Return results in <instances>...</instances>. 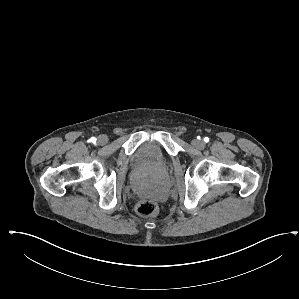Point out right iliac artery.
<instances>
[{"mask_svg": "<svg viewBox=\"0 0 299 299\" xmlns=\"http://www.w3.org/2000/svg\"><path fill=\"white\" fill-rule=\"evenodd\" d=\"M90 142L95 143L96 142V138L95 137H91L90 138Z\"/></svg>", "mask_w": 299, "mask_h": 299, "instance_id": "obj_1", "label": "right iliac artery"}]
</instances>
